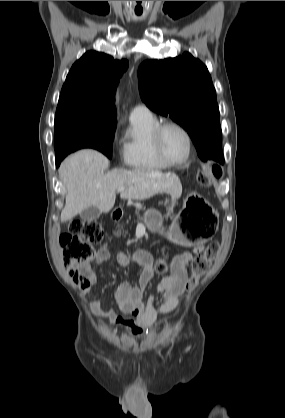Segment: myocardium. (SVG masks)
<instances>
[{
    "label": "myocardium",
    "mask_w": 285,
    "mask_h": 418,
    "mask_svg": "<svg viewBox=\"0 0 285 418\" xmlns=\"http://www.w3.org/2000/svg\"><path fill=\"white\" fill-rule=\"evenodd\" d=\"M169 127H174L177 128L178 130H180L183 135L186 138L187 141V153L186 156L183 160L179 161V162H174L171 161L165 154L164 149L162 147V143H161V138H162V133L165 129L169 128ZM151 143L158 155V157L164 162L166 163L168 166H180V165H184L186 164L192 154L193 151V140L191 137V134L189 133V131L180 123L175 122V121H164L159 123L156 128L154 129L152 136H151Z\"/></svg>",
    "instance_id": "f54148a6"
}]
</instances>
